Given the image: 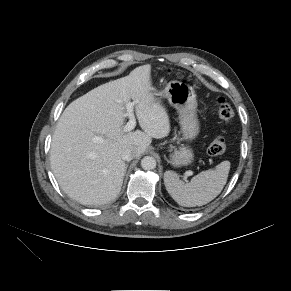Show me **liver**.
Masks as SVG:
<instances>
[{
  "instance_id": "6515ba94",
  "label": "liver",
  "mask_w": 291,
  "mask_h": 291,
  "mask_svg": "<svg viewBox=\"0 0 291 291\" xmlns=\"http://www.w3.org/2000/svg\"><path fill=\"white\" fill-rule=\"evenodd\" d=\"M151 91V65L147 64L92 89L66 107L52 138L50 162L70 198L84 205L115 199L126 172L123 151L132 149L139 157L152 138L169 135L168 114ZM130 100L143 131L123 130Z\"/></svg>"
}]
</instances>
